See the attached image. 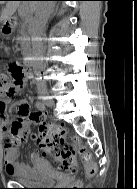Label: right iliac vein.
Segmentation results:
<instances>
[{
    "mask_svg": "<svg viewBox=\"0 0 137 189\" xmlns=\"http://www.w3.org/2000/svg\"><path fill=\"white\" fill-rule=\"evenodd\" d=\"M41 98L45 101V104L49 107L54 106V101L53 99L48 95L47 90L42 91L41 93Z\"/></svg>",
    "mask_w": 137,
    "mask_h": 189,
    "instance_id": "63e3f726",
    "label": "right iliac vein"
}]
</instances>
